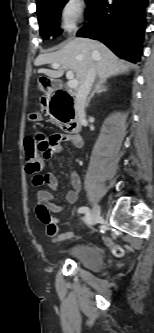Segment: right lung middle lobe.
I'll list each match as a JSON object with an SVG mask.
<instances>
[{"mask_svg": "<svg viewBox=\"0 0 154 333\" xmlns=\"http://www.w3.org/2000/svg\"><path fill=\"white\" fill-rule=\"evenodd\" d=\"M68 0H40L37 2V16L39 21L40 35L44 39L50 36H58L62 33L59 28L60 10ZM89 4L86 15L90 12L96 0H86Z\"/></svg>", "mask_w": 154, "mask_h": 333, "instance_id": "right-lung-middle-lobe-1", "label": "right lung middle lobe"}]
</instances>
